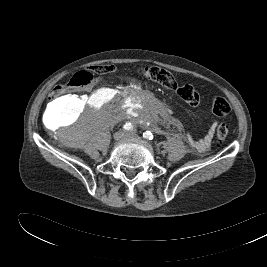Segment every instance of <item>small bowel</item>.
Here are the masks:
<instances>
[{
    "mask_svg": "<svg viewBox=\"0 0 267 267\" xmlns=\"http://www.w3.org/2000/svg\"><path fill=\"white\" fill-rule=\"evenodd\" d=\"M215 131V124H212L207 133L198 140H191L192 146L198 151V152H205L209 149L211 140L213 138Z\"/></svg>",
    "mask_w": 267,
    "mask_h": 267,
    "instance_id": "1",
    "label": "small bowel"
}]
</instances>
